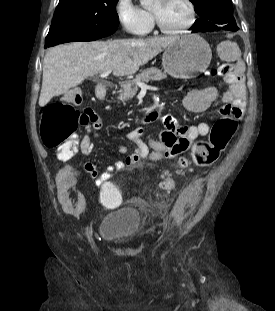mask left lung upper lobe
<instances>
[{
    "label": "left lung upper lobe",
    "mask_w": 275,
    "mask_h": 311,
    "mask_svg": "<svg viewBox=\"0 0 275 311\" xmlns=\"http://www.w3.org/2000/svg\"><path fill=\"white\" fill-rule=\"evenodd\" d=\"M196 7V13L200 16L192 28L196 31H213L218 26H223L229 31H237L239 28L233 17L231 0H190Z\"/></svg>",
    "instance_id": "5c2ea615"
}]
</instances>
